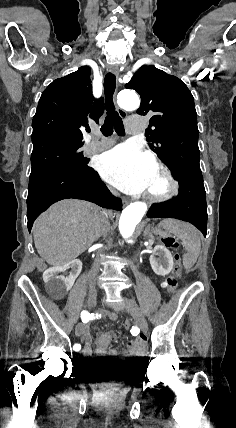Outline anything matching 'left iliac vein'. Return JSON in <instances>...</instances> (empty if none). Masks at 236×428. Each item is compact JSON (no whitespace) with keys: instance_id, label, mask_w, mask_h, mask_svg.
Listing matches in <instances>:
<instances>
[{"instance_id":"4c4485c4","label":"left iliac vein","mask_w":236,"mask_h":428,"mask_svg":"<svg viewBox=\"0 0 236 428\" xmlns=\"http://www.w3.org/2000/svg\"><path fill=\"white\" fill-rule=\"evenodd\" d=\"M124 302L129 304L128 309L134 316L135 326H139V328L142 330V333H147L148 325L146 324L145 318L141 316L140 308L138 307L137 302L134 301V298H127Z\"/></svg>"}]
</instances>
